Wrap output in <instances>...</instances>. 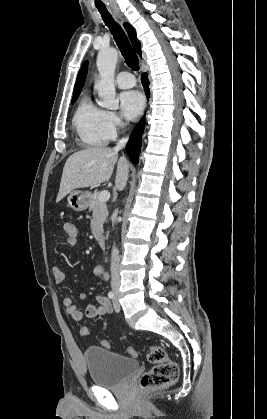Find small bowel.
<instances>
[{
    "mask_svg": "<svg viewBox=\"0 0 267 419\" xmlns=\"http://www.w3.org/2000/svg\"><path fill=\"white\" fill-rule=\"evenodd\" d=\"M54 280L57 283H63L67 280V274L59 267L52 268ZM93 275L103 280L108 279V274L102 265H97L93 269ZM80 298L84 299L85 294H80ZM63 307L66 313L74 320H81L84 316L88 318H95L97 316L107 315L112 311V307L108 298L104 296L97 297V305H87L83 309L79 308L71 297H66L63 300Z\"/></svg>",
    "mask_w": 267,
    "mask_h": 419,
    "instance_id": "obj_1",
    "label": "small bowel"
}]
</instances>
